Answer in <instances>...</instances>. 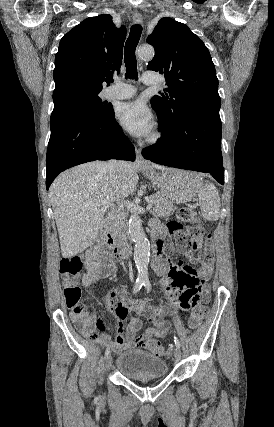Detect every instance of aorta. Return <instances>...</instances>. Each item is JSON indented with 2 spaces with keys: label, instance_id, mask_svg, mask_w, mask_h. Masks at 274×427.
I'll list each match as a JSON object with an SVG mask.
<instances>
[{
  "label": "aorta",
  "instance_id": "762f6f07",
  "mask_svg": "<svg viewBox=\"0 0 274 427\" xmlns=\"http://www.w3.org/2000/svg\"><path fill=\"white\" fill-rule=\"evenodd\" d=\"M138 56L143 60H151L154 56V49L151 46H143L138 50ZM129 233L134 247V261L138 269V278L141 281L147 280V267L150 257V244L143 231L141 219L134 212L129 219Z\"/></svg>",
  "mask_w": 274,
  "mask_h": 427
}]
</instances>
